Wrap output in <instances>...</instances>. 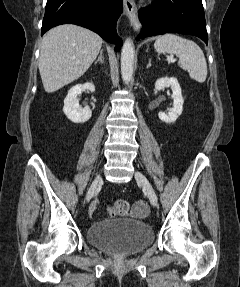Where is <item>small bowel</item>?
I'll return each instance as SVG.
<instances>
[{
	"mask_svg": "<svg viewBox=\"0 0 240 287\" xmlns=\"http://www.w3.org/2000/svg\"><path fill=\"white\" fill-rule=\"evenodd\" d=\"M95 209V205L91 206L89 210L90 214H93ZM132 211L134 213L142 212L145 215L148 211V206L143 200H137L133 204Z\"/></svg>",
	"mask_w": 240,
	"mask_h": 287,
	"instance_id": "c3829d8e",
	"label": "small bowel"
}]
</instances>
